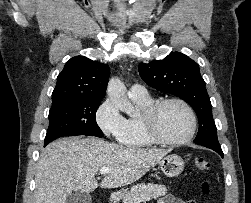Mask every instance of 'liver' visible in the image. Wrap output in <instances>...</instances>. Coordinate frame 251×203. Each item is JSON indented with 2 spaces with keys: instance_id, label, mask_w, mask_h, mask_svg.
<instances>
[{
  "instance_id": "obj_1",
  "label": "liver",
  "mask_w": 251,
  "mask_h": 203,
  "mask_svg": "<svg viewBox=\"0 0 251 203\" xmlns=\"http://www.w3.org/2000/svg\"><path fill=\"white\" fill-rule=\"evenodd\" d=\"M169 149L129 148L94 137L62 138L41 153L35 177V203H65L74 191L89 194L98 187L95 175L112 168L101 188L134 183L154 167Z\"/></svg>"
}]
</instances>
